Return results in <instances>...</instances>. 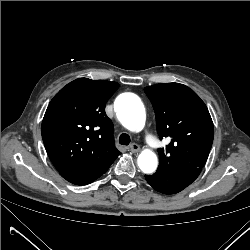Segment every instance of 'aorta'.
I'll use <instances>...</instances> for the list:
<instances>
[{
    "label": "aorta",
    "instance_id": "762f6f07",
    "mask_svg": "<svg viewBox=\"0 0 250 250\" xmlns=\"http://www.w3.org/2000/svg\"><path fill=\"white\" fill-rule=\"evenodd\" d=\"M115 110L120 113V121L124 127L131 131L143 128L146 112L143 103L132 93L121 94L115 101ZM156 154L146 149L138 156V166L142 172L150 174L157 168Z\"/></svg>",
    "mask_w": 250,
    "mask_h": 250
}]
</instances>
